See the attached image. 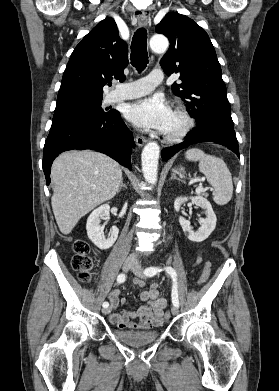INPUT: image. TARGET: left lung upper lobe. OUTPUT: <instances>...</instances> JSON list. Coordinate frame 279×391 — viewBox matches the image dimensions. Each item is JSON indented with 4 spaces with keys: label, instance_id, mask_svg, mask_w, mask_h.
Wrapping results in <instances>:
<instances>
[{
    "label": "left lung upper lobe",
    "instance_id": "left-lung-upper-lobe-1",
    "mask_svg": "<svg viewBox=\"0 0 279 391\" xmlns=\"http://www.w3.org/2000/svg\"><path fill=\"white\" fill-rule=\"evenodd\" d=\"M156 32L170 41L161 67L168 76L180 74L181 83L174 82L172 91L186 103L196 124L216 120L233 126L221 67L208 34L178 13L166 14Z\"/></svg>",
    "mask_w": 279,
    "mask_h": 391
}]
</instances>
